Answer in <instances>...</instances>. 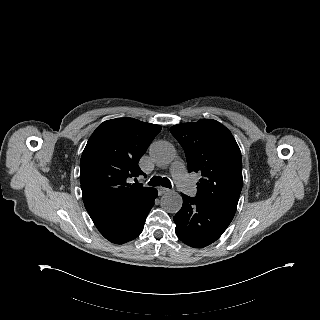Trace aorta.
Returning <instances> with one entry per match:
<instances>
[{
    "mask_svg": "<svg viewBox=\"0 0 320 320\" xmlns=\"http://www.w3.org/2000/svg\"><path fill=\"white\" fill-rule=\"evenodd\" d=\"M151 160L159 166L169 165L175 158L173 145L167 141L154 142L149 149ZM182 197L176 192H169L162 196L161 206L168 213H177L182 207Z\"/></svg>",
    "mask_w": 320,
    "mask_h": 320,
    "instance_id": "762f6f07",
    "label": "aorta"
}]
</instances>
